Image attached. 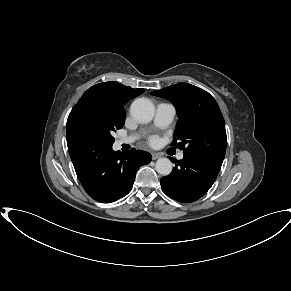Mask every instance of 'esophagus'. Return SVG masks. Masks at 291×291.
Listing matches in <instances>:
<instances>
[{
  "label": "esophagus",
  "mask_w": 291,
  "mask_h": 291,
  "mask_svg": "<svg viewBox=\"0 0 291 291\" xmlns=\"http://www.w3.org/2000/svg\"><path fill=\"white\" fill-rule=\"evenodd\" d=\"M160 157H162L161 154H159V153H152V159H153V160H156V159H158V158H160Z\"/></svg>",
  "instance_id": "1"
}]
</instances>
